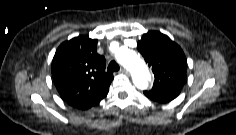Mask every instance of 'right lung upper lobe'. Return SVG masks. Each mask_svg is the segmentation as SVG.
<instances>
[{
	"label": "right lung upper lobe",
	"instance_id": "cb5924a9",
	"mask_svg": "<svg viewBox=\"0 0 236 135\" xmlns=\"http://www.w3.org/2000/svg\"><path fill=\"white\" fill-rule=\"evenodd\" d=\"M105 68V58L97 53V39L78 36L58 47L51 71L62 99L78 107L108 92L113 75Z\"/></svg>",
	"mask_w": 236,
	"mask_h": 135
}]
</instances>
